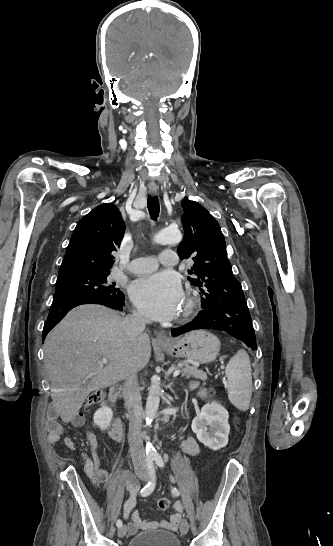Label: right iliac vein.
Listing matches in <instances>:
<instances>
[{
  "label": "right iliac vein",
  "instance_id": "obj_1",
  "mask_svg": "<svg viewBox=\"0 0 333 546\" xmlns=\"http://www.w3.org/2000/svg\"><path fill=\"white\" fill-rule=\"evenodd\" d=\"M137 476L141 479V480H147V475L144 471H138L137 472ZM127 533V526L126 525H123L121 527H119L118 529V536L120 538H123Z\"/></svg>",
  "mask_w": 333,
  "mask_h": 546
}]
</instances>
